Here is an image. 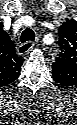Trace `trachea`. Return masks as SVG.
Instances as JSON below:
<instances>
[{
	"label": "trachea",
	"instance_id": "1",
	"mask_svg": "<svg viewBox=\"0 0 77 125\" xmlns=\"http://www.w3.org/2000/svg\"><path fill=\"white\" fill-rule=\"evenodd\" d=\"M35 39V33L31 28H26L20 37V41L22 43L27 42V41H34Z\"/></svg>",
	"mask_w": 77,
	"mask_h": 125
}]
</instances>
